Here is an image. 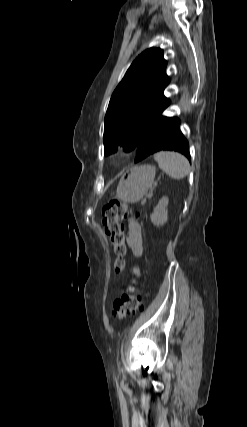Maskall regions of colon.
<instances>
[{"instance_id": "obj_1", "label": "colon", "mask_w": 247, "mask_h": 427, "mask_svg": "<svg viewBox=\"0 0 247 427\" xmlns=\"http://www.w3.org/2000/svg\"><path fill=\"white\" fill-rule=\"evenodd\" d=\"M130 209L121 201H111L102 210V223L104 232L109 239L115 255L114 271L120 273L124 270V257L127 253L126 239L122 221L128 217ZM143 308V293L133 281L127 293L117 298L113 303V317L122 320L135 314Z\"/></svg>"}]
</instances>
